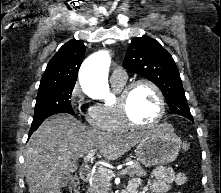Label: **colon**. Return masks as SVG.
Listing matches in <instances>:
<instances>
[{
    "mask_svg": "<svg viewBox=\"0 0 221 193\" xmlns=\"http://www.w3.org/2000/svg\"><path fill=\"white\" fill-rule=\"evenodd\" d=\"M190 149L189 143L183 144V150L187 151ZM69 193H79V181L77 178H73L70 184V190Z\"/></svg>",
    "mask_w": 221,
    "mask_h": 193,
    "instance_id": "colon-1",
    "label": "colon"
}]
</instances>
